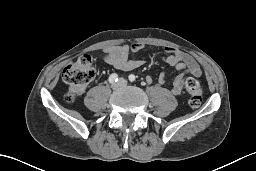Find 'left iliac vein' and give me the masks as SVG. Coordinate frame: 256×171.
<instances>
[{
	"label": "left iliac vein",
	"mask_w": 256,
	"mask_h": 171,
	"mask_svg": "<svg viewBox=\"0 0 256 171\" xmlns=\"http://www.w3.org/2000/svg\"><path fill=\"white\" fill-rule=\"evenodd\" d=\"M119 83H120L121 86H126L127 85V80L124 79V78H120Z\"/></svg>",
	"instance_id": "1"
}]
</instances>
